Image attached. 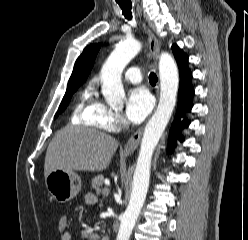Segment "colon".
<instances>
[{
    "label": "colon",
    "mask_w": 248,
    "mask_h": 240,
    "mask_svg": "<svg viewBox=\"0 0 248 240\" xmlns=\"http://www.w3.org/2000/svg\"><path fill=\"white\" fill-rule=\"evenodd\" d=\"M68 226H69L68 216L65 214H61L57 220L58 231L63 233L68 230Z\"/></svg>",
    "instance_id": "obj_1"
}]
</instances>
